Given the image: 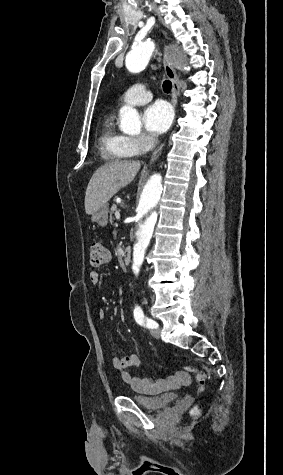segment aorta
<instances>
[{"instance_id": "762f6f07", "label": "aorta", "mask_w": 283, "mask_h": 475, "mask_svg": "<svg viewBox=\"0 0 283 475\" xmlns=\"http://www.w3.org/2000/svg\"><path fill=\"white\" fill-rule=\"evenodd\" d=\"M155 49V44L147 40L133 47L126 55L125 64L132 73L144 70ZM120 128L126 134H136L141 130V121L136 109L123 107L120 110ZM159 173L153 174L137 190L134 214L132 217V237L134 240L132 272L137 277L144 262L146 250L150 245L157 225L161 221L166 187Z\"/></svg>"}]
</instances>
